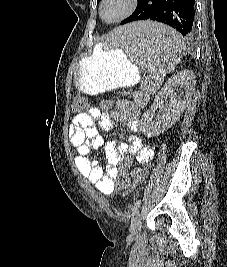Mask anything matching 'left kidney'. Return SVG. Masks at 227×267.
<instances>
[{"label":"left kidney","instance_id":"5707ae66","mask_svg":"<svg viewBox=\"0 0 227 267\" xmlns=\"http://www.w3.org/2000/svg\"><path fill=\"white\" fill-rule=\"evenodd\" d=\"M194 90L195 74L192 70L184 69L174 74L155 97L150 110L142 115L140 121L142 132L147 137H154L168 130L184 112ZM166 98H169L168 105H164ZM157 109L159 112L155 118Z\"/></svg>","mask_w":227,"mask_h":267}]
</instances>
